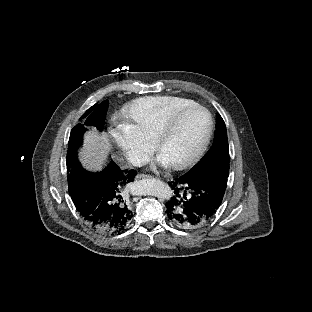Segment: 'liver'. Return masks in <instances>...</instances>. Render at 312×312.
Segmentation results:
<instances>
[{
	"label": "liver",
	"instance_id": "liver-1",
	"mask_svg": "<svg viewBox=\"0 0 312 312\" xmlns=\"http://www.w3.org/2000/svg\"><path fill=\"white\" fill-rule=\"evenodd\" d=\"M111 145L106 132L99 133L96 129L84 135L83 147L79 152V160L88 171H101L108 162Z\"/></svg>",
	"mask_w": 312,
	"mask_h": 312
}]
</instances>
